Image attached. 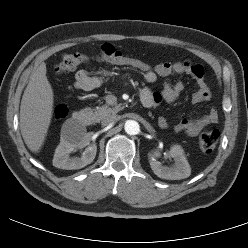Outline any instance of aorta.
I'll return each mask as SVG.
<instances>
[{"label":"aorta","instance_id":"762f6f07","mask_svg":"<svg viewBox=\"0 0 248 248\" xmlns=\"http://www.w3.org/2000/svg\"><path fill=\"white\" fill-rule=\"evenodd\" d=\"M125 132L129 135H136L139 133L140 127L137 121L128 120L124 126Z\"/></svg>","mask_w":248,"mask_h":248}]
</instances>
